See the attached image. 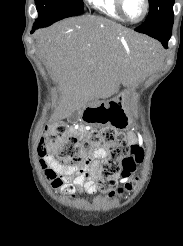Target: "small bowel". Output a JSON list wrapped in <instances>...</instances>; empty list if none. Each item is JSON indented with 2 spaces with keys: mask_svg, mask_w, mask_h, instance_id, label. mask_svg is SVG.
<instances>
[{
  "mask_svg": "<svg viewBox=\"0 0 183 246\" xmlns=\"http://www.w3.org/2000/svg\"><path fill=\"white\" fill-rule=\"evenodd\" d=\"M79 132L84 128L80 127ZM136 136L129 134V142L135 144ZM107 152L104 147L96 148L92 153V161L84 169L78 170L58 162L52 156H47L45 161L48 164L46 170L47 178L55 189H59L63 194L73 197L76 192L91 195L96 192V180L98 177L100 162L106 157Z\"/></svg>",
  "mask_w": 183,
  "mask_h": 246,
  "instance_id": "obj_1",
  "label": "small bowel"
}]
</instances>
